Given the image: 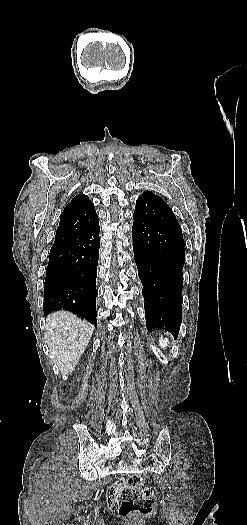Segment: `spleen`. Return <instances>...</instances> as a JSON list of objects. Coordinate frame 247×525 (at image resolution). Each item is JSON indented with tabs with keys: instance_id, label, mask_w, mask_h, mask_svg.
Here are the masks:
<instances>
[{
	"instance_id": "spleen-1",
	"label": "spleen",
	"mask_w": 247,
	"mask_h": 525,
	"mask_svg": "<svg viewBox=\"0 0 247 525\" xmlns=\"http://www.w3.org/2000/svg\"><path fill=\"white\" fill-rule=\"evenodd\" d=\"M159 347H161V349H165V347H169L168 339H163V337H160V339H159Z\"/></svg>"
}]
</instances>
